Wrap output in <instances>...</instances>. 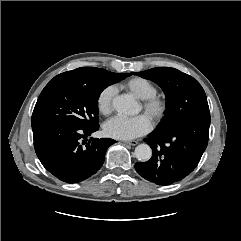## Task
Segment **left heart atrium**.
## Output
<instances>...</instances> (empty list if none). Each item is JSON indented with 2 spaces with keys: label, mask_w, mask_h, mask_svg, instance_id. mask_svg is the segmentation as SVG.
<instances>
[{
  "label": "left heart atrium",
  "mask_w": 241,
  "mask_h": 241,
  "mask_svg": "<svg viewBox=\"0 0 241 241\" xmlns=\"http://www.w3.org/2000/svg\"><path fill=\"white\" fill-rule=\"evenodd\" d=\"M151 127L150 118L144 114L133 118L116 116L105 123L104 132L112 138L131 140L146 134Z\"/></svg>",
  "instance_id": "39dd6f15"
}]
</instances>
